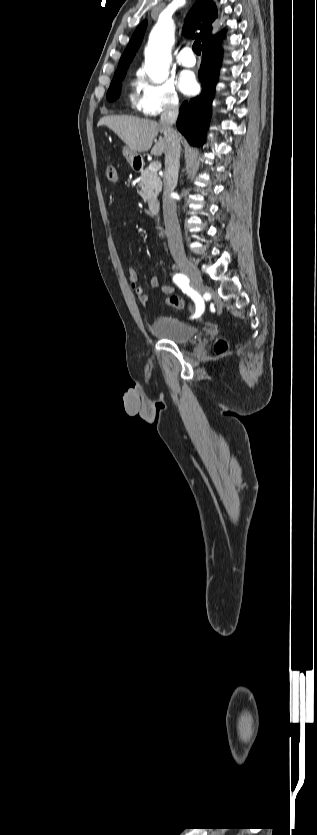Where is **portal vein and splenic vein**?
I'll return each mask as SVG.
<instances>
[{
	"label": "portal vein and splenic vein",
	"instance_id": "1",
	"mask_svg": "<svg viewBox=\"0 0 317 835\" xmlns=\"http://www.w3.org/2000/svg\"><path fill=\"white\" fill-rule=\"evenodd\" d=\"M161 166H162V164L158 161L157 162H152L149 166V169L152 170V171H158V170H160Z\"/></svg>",
	"mask_w": 317,
	"mask_h": 835
}]
</instances>
